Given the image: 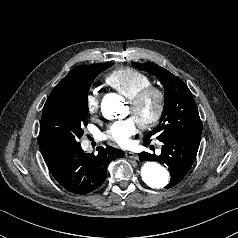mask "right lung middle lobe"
Instances as JSON below:
<instances>
[{"label":"right lung middle lobe","instance_id":"1","mask_svg":"<svg viewBox=\"0 0 238 238\" xmlns=\"http://www.w3.org/2000/svg\"><path fill=\"white\" fill-rule=\"evenodd\" d=\"M113 63L86 66L67 85L52 92L42 111L38 141L63 152L80 146L87 125L88 92L95 77Z\"/></svg>","mask_w":238,"mask_h":238}]
</instances>
